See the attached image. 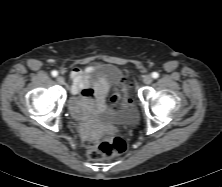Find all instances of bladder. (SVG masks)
Returning a JSON list of instances; mask_svg holds the SVG:
<instances>
[{"label":"bladder","instance_id":"obj_1","mask_svg":"<svg viewBox=\"0 0 222 187\" xmlns=\"http://www.w3.org/2000/svg\"><path fill=\"white\" fill-rule=\"evenodd\" d=\"M92 83H101L109 88H114L122 95L125 93V83L121 70L114 64L105 63L96 66L90 73ZM72 117L76 121H103L114 126H129L137 122L138 110L133 101L124 95L118 107H109L100 112L81 116L71 107Z\"/></svg>","mask_w":222,"mask_h":187}]
</instances>
